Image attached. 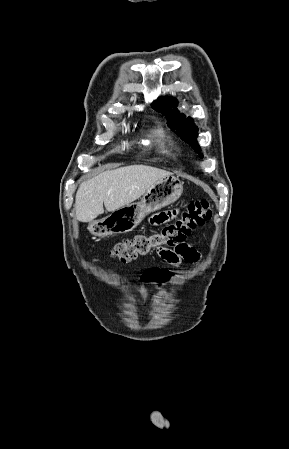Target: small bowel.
<instances>
[{
    "mask_svg": "<svg viewBox=\"0 0 289 449\" xmlns=\"http://www.w3.org/2000/svg\"><path fill=\"white\" fill-rule=\"evenodd\" d=\"M175 211L159 214L151 219L152 224L163 223L175 215ZM159 257L171 266L179 267L183 262L196 263L200 255L192 246L182 243L176 247H162L157 250ZM165 280H160L159 283Z\"/></svg>",
    "mask_w": 289,
    "mask_h": 449,
    "instance_id": "1",
    "label": "small bowel"
}]
</instances>
